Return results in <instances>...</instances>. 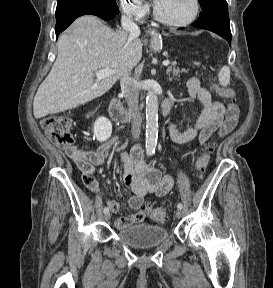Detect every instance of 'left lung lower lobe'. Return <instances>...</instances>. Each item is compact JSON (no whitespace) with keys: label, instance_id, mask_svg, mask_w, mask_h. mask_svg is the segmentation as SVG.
<instances>
[{"label":"left lung lower lobe","instance_id":"left-lung-lower-lobe-1","mask_svg":"<svg viewBox=\"0 0 273 288\" xmlns=\"http://www.w3.org/2000/svg\"><path fill=\"white\" fill-rule=\"evenodd\" d=\"M193 26L212 31L225 38L231 45L228 7L219 8L211 12H201L199 19Z\"/></svg>","mask_w":273,"mask_h":288}]
</instances>
